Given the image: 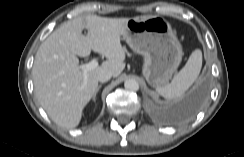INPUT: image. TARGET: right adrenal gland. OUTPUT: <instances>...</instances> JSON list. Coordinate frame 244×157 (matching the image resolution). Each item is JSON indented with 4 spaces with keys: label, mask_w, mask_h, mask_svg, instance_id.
<instances>
[{
    "label": "right adrenal gland",
    "mask_w": 244,
    "mask_h": 157,
    "mask_svg": "<svg viewBox=\"0 0 244 157\" xmlns=\"http://www.w3.org/2000/svg\"><path fill=\"white\" fill-rule=\"evenodd\" d=\"M100 88H101V85H99V86L97 87L96 92L94 93L93 98H92L93 101L96 100V95H97V93H98V91H99Z\"/></svg>",
    "instance_id": "right-adrenal-gland-1"
}]
</instances>
